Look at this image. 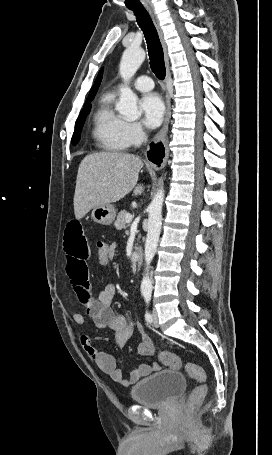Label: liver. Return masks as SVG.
I'll list each match as a JSON object with an SVG mask.
<instances>
[{
    "mask_svg": "<svg viewBox=\"0 0 272 455\" xmlns=\"http://www.w3.org/2000/svg\"><path fill=\"white\" fill-rule=\"evenodd\" d=\"M143 161L129 153L99 152L87 155L80 163L74 194L76 219L91 209L117 202L133 190L140 195L144 186L137 184Z\"/></svg>",
    "mask_w": 272,
    "mask_h": 455,
    "instance_id": "liver-1",
    "label": "liver"
}]
</instances>
